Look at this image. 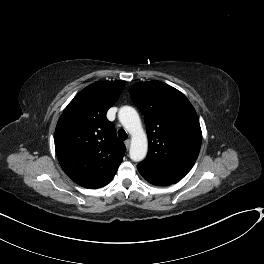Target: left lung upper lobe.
Segmentation results:
<instances>
[{
    "label": "left lung upper lobe",
    "mask_w": 264,
    "mask_h": 264,
    "mask_svg": "<svg viewBox=\"0 0 264 264\" xmlns=\"http://www.w3.org/2000/svg\"><path fill=\"white\" fill-rule=\"evenodd\" d=\"M129 92L144 115L149 144L138 171L177 183L193 167L201 147L195 109L183 93L160 81L136 83Z\"/></svg>",
    "instance_id": "obj_1"
}]
</instances>
